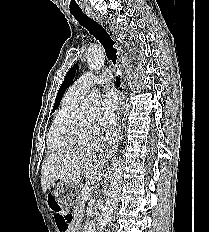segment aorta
Returning a JSON list of instances; mask_svg holds the SVG:
<instances>
[{
	"instance_id": "762f6f07",
	"label": "aorta",
	"mask_w": 209,
	"mask_h": 232,
	"mask_svg": "<svg viewBox=\"0 0 209 232\" xmlns=\"http://www.w3.org/2000/svg\"><path fill=\"white\" fill-rule=\"evenodd\" d=\"M87 61L91 70H100L104 64V53L101 48L97 46L91 47L88 50ZM99 98L100 92L97 89H93L89 93V95L82 101V106L92 110L97 109ZM122 182L123 165L121 158H117L114 161L110 182L105 193V206L102 209V212L98 219L100 232L107 226L108 222L112 218L113 212L117 205L118 195Z\"/></svg>"
}]
</instances>
